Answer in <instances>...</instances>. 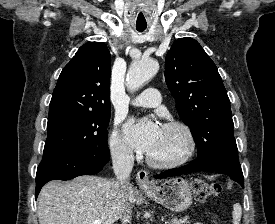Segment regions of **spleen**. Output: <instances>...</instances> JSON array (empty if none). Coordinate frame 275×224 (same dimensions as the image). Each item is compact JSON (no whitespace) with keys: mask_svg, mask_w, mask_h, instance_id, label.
<instances>
[{"mask_svg":"<svg viewBox=\"0 0 275 224\" xmlns=\"http://www.w3.org/2000/svg\"><path fill=\"white\" fill-rule=\"evenodd\" d=\"M241 215H242V208L239 203L235 204L233 207V224H240L241 221Z\"/></svg>","mask_w":275,"mask_h":224,"instance_id":"3e777b00","label":"spleen"}]
</instances>
